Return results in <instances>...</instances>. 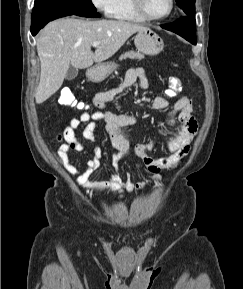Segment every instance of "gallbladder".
<instances>
[{"mask_svg": "<svg viewBox=\"0 0 243 289\" xmlns=\"http://www.w3.org/2000/svg\"><path fill=\"white\" fill-rule=\"evenodd\" d=\"M77 75H78V69L73 66H70L65 78L67 80H73L77 77Z\"/></svg>", "mask_w": 243, "mask_h": 289, "instance_id": "gallbladder-1", "label": "gallbladder"}]
</instances>
